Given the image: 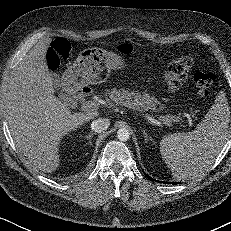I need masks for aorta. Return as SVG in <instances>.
Returning a JSON list of instances; mask_svg holds the SVG:
<instances>
[{
  "mask_svg": "<svg viewBox=\"0 0 231 231\" xmlns=\"http://www.w3.org/2000/svg\"><path fill=\"white\" fill-rule=\"evenodd\" d=\"M130 137V132L129 130L125 129V128H121L117 131V138L120 141H127Z\"/></svg>",
  "mask_w": 231,
  "mask_h": 231,
  "instance_id": "762f6f07",
  "label": "aorta"
}]
</instances>
